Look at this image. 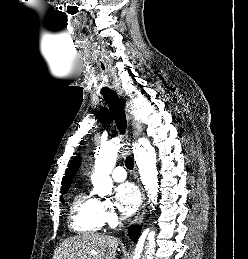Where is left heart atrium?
<instances>
[{
	"label": "left heart atrium",
	"mask_w": 248,
	"mask_h": 259,
	"mask_svg": "<svg viewBox=\"0 0 248 259\" xmlns=\"http://www.w3.org/2000/svg\"><path fill=\"white\" fill-rule=\"evenodd\" d=\"M116 205L120 212L126 216L132 215L140 202L137 188L131 183H122L115 189Z\"/></svg>",
	"instance_id": "obj_1"
}]
</instances>
